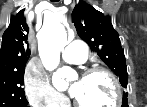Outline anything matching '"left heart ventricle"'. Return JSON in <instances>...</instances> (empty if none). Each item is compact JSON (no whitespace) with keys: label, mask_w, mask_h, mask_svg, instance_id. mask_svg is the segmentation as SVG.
<instances>
[{"label":"left heart ventricle","mask_w":147,"mask_h":107,"mask_svg":"<svg viewBox=\"0 0 147 107\" xmlns=\"http://www.w3.org/2000/svg\"><path fill=\"white\" fill-rule=\"evenodd\" d=\"M74 84L79 86L75 98L86 106L108 107L114 101V87L105 75L76 78Z\"/></svg>","instance_id":"1"}]
</instances>
